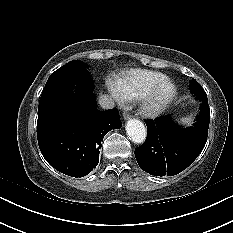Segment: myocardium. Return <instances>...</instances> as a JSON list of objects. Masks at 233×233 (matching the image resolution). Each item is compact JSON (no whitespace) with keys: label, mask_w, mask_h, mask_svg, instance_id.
Masks as SVG:
<instances>
[{"label":"myocardium","mask_w":233,"mask_h":233,"mask_svg":"<svg viewBox=\"0 0 233 233\" xmlns=\"http://www.w3.org/2000/svg\"><path fill=\"white\" fill-rule=\"evenodd\" d=\"M167 88L166 93H162ZM177 96L176 84L165 78L155 84L143 97L140 98V113L149 118L157 117L174 101Z\"/></svg>","instance_id":"1"}]
</instances>
